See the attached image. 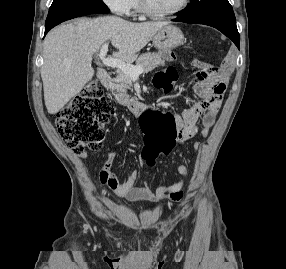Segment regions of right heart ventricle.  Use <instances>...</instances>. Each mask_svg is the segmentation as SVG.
<instances>
[{
  "label": "right heart ventricle",
  "instance_id": "right-heart-ventricle-1",
  "mask_svg": "<svg viewBox=\"0 0 286 269\" xmlns=\"http://www.w3.org/2000/svg\"><path fill=\"white\" fill-rule=\"evenodd\" d=\"M130 10L134 12L139 11L138 1L137 0H130Z\"/></svg>",
  "mask_w": 286,
  "mask_h": 269
}]
</instances>
